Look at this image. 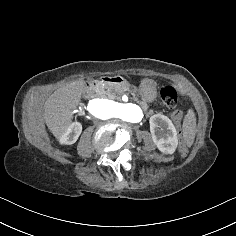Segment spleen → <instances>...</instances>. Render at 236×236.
Here are the masks:
<instances>
[{
    "mask_svg": "<svg viewBox=\"0 0 236 236\" xmlns=\"http://www.w3.org/2000/svg\"><path fill=\"white\" fill-rule=\"evenodd\" d=\"M196 136V116L193 109H188L183 121V138L188 148L194 144Z\"/></svg>",
    "mask_w": 236,
    "mask_h": 236,
    "instance_id": "3e777b00",
    "label": "spleen"
}]
</instances>
